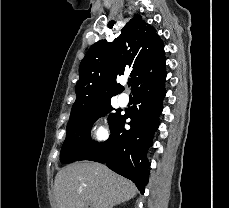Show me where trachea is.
Returning <instances> with one entry per match:
<instances>
[{
  "instance_id": "trachea-1",
  "label": "trachea",
  "mask_w": 229,
  "mask_h": 208,
  "mask_svg": "<svg viewBox=\"0 0 229 208\" xmlns=\"http://www.w3.org/2000/svg\"><path fill=\"white\" fill-rule=\"evenodd\" d=\"M128 86H129V87L131 86V81H130V80H128Z\"/></svg>"
}]
</instances>
